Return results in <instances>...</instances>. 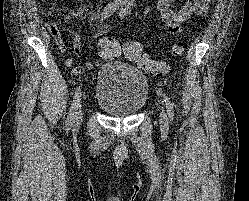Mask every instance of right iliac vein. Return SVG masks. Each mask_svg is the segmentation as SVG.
I'll return each mask as SVG.
<instances>
[{"label":"right iliac vein","instance_id":"obj_1","mask_svg":"<svg viewBox=\"0 0 249 201\" xmlns=\"http://www.w3.org/2000/svg\"><path fill=\"white\" fill-rule=\"evenodd\" d=\"M82 118H83V111L81 108H79V110L76 112V116H75V120H74L75 128L79 127V125L82 122Z\"/></svg>","mask_w":249,"mask_h":201}]
</instances>
